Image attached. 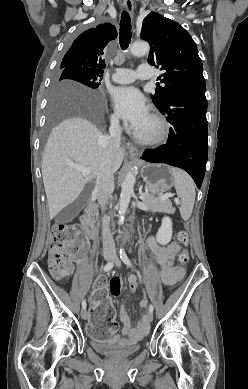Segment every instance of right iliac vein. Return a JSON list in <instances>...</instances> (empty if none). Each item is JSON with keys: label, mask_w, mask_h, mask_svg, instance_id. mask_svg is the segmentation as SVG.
Returning <instances> with one entry per match:
<instances>
[{"label": "right iliac vein", "mask_w": 248, "mask_h": 389, "mask_svg": "<svg viewBox=\"0 0 248 389\" xmlns=\"http://www.w3.org/2000/svg\"><path fill=\"white\" fill-rule=\"evenodd\" d=\"M112 257L110 255H105L104 256V259L109 261ZM81 317L84 319V320H87L89 318V313L86 309H82L81 311Z\"/></svg>", "instance_id": "63e3f726"}]
</instances>
